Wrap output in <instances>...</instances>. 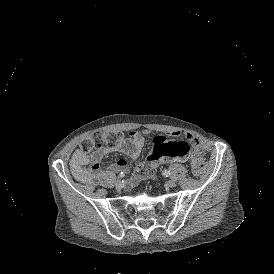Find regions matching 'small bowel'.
I'll use <instances>...</instances> for the list:
<instances>
[{
	"mask_svg": "<svg viewBox=\"0 0 274 274\" xmlns=\"http://www.w3.org/2000/svg\"><path fill=\"white\" fill-rule=\"evenodd\" d=\"M148 130L134 131L129 134L128 138H121L116 144H105L101 148L94 151L92 154L84 153L76 150L71 159V170L74 177L84 183H91L99 175L101 171L100 161L112 152H124L129 155L133 161H137L145 144V137L149 135ZM176 134L184 135L189 141L192 150H197L204 155L203 146L200 140L193 134L188 132H177ZM152 144L149 147L146 157L151 173L145 177L134 178L128 183V187L135 186L138 179H155L154 170L159 163L163 165H172L179 163L184 165L188 163V154L190 152L185 141L181 139H174L167 136L163 132L153 134L151 138ZM165 149V150H164ZM128 168V161L126 159H119L110 166L113 171L125 170Z\"/></svg>",
	"mask_w": 274,
	"mask_h": 274,
	"instance_id": "1",
	"label": "small bowel"
}]
</instances>
